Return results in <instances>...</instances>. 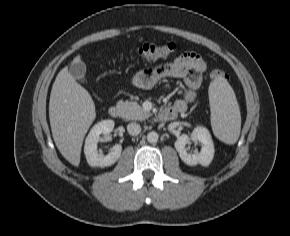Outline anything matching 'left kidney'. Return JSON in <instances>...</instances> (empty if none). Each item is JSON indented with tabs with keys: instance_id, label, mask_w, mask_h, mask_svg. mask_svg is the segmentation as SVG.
<instances>
[{
	"instance_id": "1",
	"label": "left kidney",
	"mask_w": 290,
	"mask_h": 236,
	"mask_svg": "<svg viewBox=\"0 0 290 236\" xmlns=\"http://www.w3.org/2000/svg\"><path fill=\"white\" fill-rule=\"evenodd\" d=\"M190 140H196L201 143V151L190 154L187 152L186 145ZM181 160L189 166L201 164L208 166L214 156V144L207 128L198 125L194 128L190 136L183 134L179 136L174 144Z\"/></svg>"
}]
</instances>
